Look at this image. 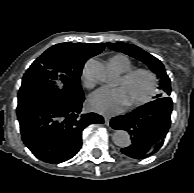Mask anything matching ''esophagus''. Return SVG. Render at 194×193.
<instances>
[{
  "instance_id": "1",
  "label": "esophagus",
  "mask_w": 194,
  "mask_h": 193,
  "mask_svg": "<svg viewBox=\"0 0 194 193\" xmlns=\"http://www.w3.org/2000/svg\"><path fill=\"white\" fill-rule=\"evenodd\" d=\"M110 119H111L110 116H104V122H105L106 125H109Z\"/></svg>"
}]
</instances>
